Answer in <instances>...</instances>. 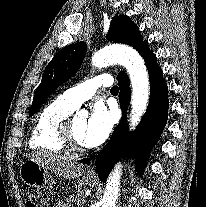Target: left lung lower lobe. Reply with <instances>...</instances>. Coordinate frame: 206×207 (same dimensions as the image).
<instances>
[{"label": "left lung lower lobe", "instance_id": "obj_1", "mask_svg": "<svg viewBox=\"0 0 206 207\" xmlns=\"http://www.w3.org/2000/svg\"><path fill=\"white\" fill-rule=\"evenodd\" d=\"M149 73L150 100L142 121L134 132H129L126 124V108L131 99L129 78L126 74L118 76L120 87V107L123 111V120L117 126L111 139L99 153L96 159V170L100 179L105 182L114 164L127 154L137 156V171L142 172L145 160L152 147L158 141L168 116V89L163 79L161 68L156 56L149 47L141 54ZM88 163L90 160H83Z\"/></svg>", "mask_w": 206, "mask_h": 207}]
</instances>
